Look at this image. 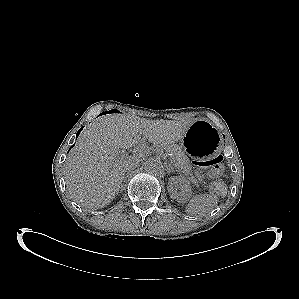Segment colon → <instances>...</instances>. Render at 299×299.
I'll return each instance as SVG.
<instances>
[{
  "label": "colon",
  "mask_w": 299,
  "mask_h": 299,
  "mask_svg": "<svg viewBox=\"0 0 299 299\" xmlns=\"http://www.w3.org/2000/svg\"><path fill=\"white\" fill-rule=\"evenodd\" d=\"M195 167L208 178H217L223 172V157L217 155L210 160L194 161Z\"/></svg>",
  "instance_id": "colon-1"
}]
</instances>
